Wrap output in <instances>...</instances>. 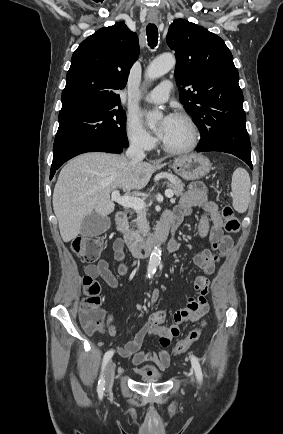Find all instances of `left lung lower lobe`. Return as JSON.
Returning <instances> with one entry per match:
<instances>
[{
  "label": "left lung lower lobe",
  "mask_w": 283,
  "mask_h": 434,
  "mask_svg": "<svg viewBox=\"0 0 283 434\" xmlns=\"http://www.w3.org/2000/svg\"><path fill=\"white\" fill-rule=\"evenodd\" d=\"M197 151L198 152H205V151H215V150H208L206 148L199 147ZM227 153H230V154H233V155L237 156L238 158H240L241 160H243L247 165H249V167L251 169H253L252 162H251V156L243 155V154L236 153V152H227Z\"/></svg>",
  "instance_id": "left-lung-lower-lobe-1"
}]
</instances>
